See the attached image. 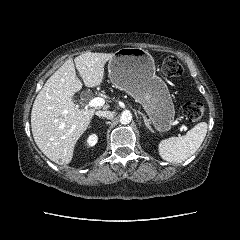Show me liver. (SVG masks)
<instances>
[{
  "mask_svg": "<svg viewBox=\"0 0 240 240\" xmlns=\"http://www.w3.org/2000/svg\"><path fill=\"white\" fill-rule=\"evenodd\" d=\"M113 53L85 52L68 59L46 81L38 93L31 111V128L38 148L51 161L66 165L73 158L78 139L88 128L95 109H79L72 101L73 95L82 89L76 76L78 70L85 86L101 85L104 66Z\"/></svg>",
  "mask_w": 240,
  "mask_h": 240,
  "instance_id": "liver-1",
  "label": "liver"
}]
</instances>
